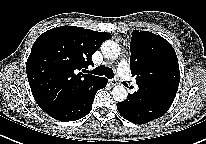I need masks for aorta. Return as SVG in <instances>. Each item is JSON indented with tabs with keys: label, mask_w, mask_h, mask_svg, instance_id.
I'll use <instances>...</instances> for the list:
<instances>
[{
	"label": "aorta",
	"mask_w": 206,
	"mask_h": 144,
	"mask_svg": "<svg viewBox=\"0 0 206 144\" xmlns=\"http://www.w3.org/2000/svg\"><path fill=\"white\" fill-rule=\"evenodd\" d=\"M101 51L104 57L110 60L117 59L121 53L119 44L112 40L105 41L101 46ZM112 96L115 101L123 102L126 100L128 92L123 85H116L112 90Z\"/></svg>",
	"instance_id": "obj_1"
}]
</instances>
